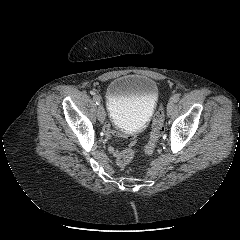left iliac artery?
<instances>
[{"mask_svg": "<svg viewBox=\"0 0 240 240\" xmlns=\"http://www.w3.org/2000/svg\"><path fill=\"white\" fill-rule=\"evenodd\" d=\"M179 99H180V94H175L172 98H171V100L173 101V102H178L179 101Z\"/></svg>", "mask_w": 240, "mask_h": 240, "instance_id": "obj_1", "label": "left iliac artery"}]
</instances>
